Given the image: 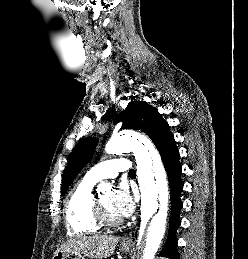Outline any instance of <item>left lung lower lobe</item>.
<instances>
[{
  "label": "left lung lower lobe",
  "instance_id": "0a47b994",
  "mask_svg": "<svg viewBox=\"0 0 248 259\" xmlns=\"http://www.w3.org/2000/svg\"><path fill=\"white\" fill-rule=\"evenodd\" d=\"M162 161L164 163L171 191V215L169 222V233L166 243L160 252V256L170 259H179L177 253L176 229L180 225L179 212L183 207L180 195L183 190L181 181V165L179 163V150L175 145V141H171L159 149Z\"/></svg>",
  "mask_w": 248,
  "mask_h": 259
}]
</instances>
